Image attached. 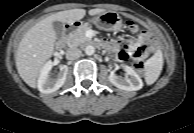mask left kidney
Masks as SVG:
<instances>
[{
    "instance_id": "1",
    "label": "left kidney",
    "mask_w": 194,
    "mask_h": 133,
    "mask_svg": "<svg viewBox=\"0 0 194 133\" xmlns=\"http://www.w3.org/2000/svg\"><path fill=\"white\" fill-rule=\"evenodd\" d=\"M122 68L126 72V78L122 79L112 71L109 75L111 84L125 91L140 90L143 87V82L136 71L127 65H122Z\"/></svg>"
}]
</instances>
